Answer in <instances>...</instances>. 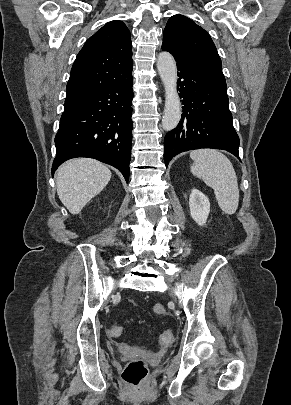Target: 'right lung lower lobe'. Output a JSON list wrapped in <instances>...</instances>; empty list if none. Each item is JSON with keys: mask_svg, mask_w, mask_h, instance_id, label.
I'll return each mask as SVG.
<instances>
[{"mask_svg": "<svg viewBox=\"0 0 291 405\" xmlns=\"http://www.w3.org/2000/svg\"><path fill=\"white\" fill-rule=\"evenodd\" d=\"M132 82L130 75L88 93L64 109L55 137L52 174L70 158L90 157L119 169L128 183Z\"/></svg>", "mask_w": 291, "mask_h": 405, "instance_id": "98d812e1", "label": "right lung lower lobe"}]
</instances>
